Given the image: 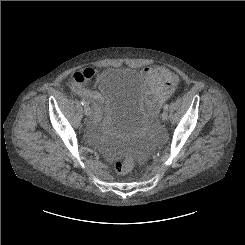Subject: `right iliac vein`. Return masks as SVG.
Segmentation results:
<instances>
[{
    "label": "right iliac vein",
    "instance_id": "63e3f726",
    "mask_svg": "<svg viewBox=\"0 0 245 245\" xmlns=\"http://www.w3.org/2000/svg\"><path fill=\"white\" fill-rule=\"evenodd\" d=\"M84 113H85V115H87V116L91 115V109H90L89 106L86 105V106L84 107Z\"/></svg>",
    "mask_w": 245,
    "mask_h": 245
}]
</instances>
